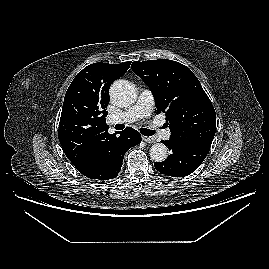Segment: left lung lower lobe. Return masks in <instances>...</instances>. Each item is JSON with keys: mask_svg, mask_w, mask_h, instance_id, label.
I'll list each match as a JSON object with an SVG mask.
<instances>
[{"mask_svg": "<svg viewBox=\"0 0 269 269\" xmlns=\"http://www.w3.org/2000/svg\"><path fill=\"white\" fill-rule=\"evenodd\" d=\"M172 152L163 162L154 164L157 171L171 177L193 173L207 156L211 145L207 143L183 144L171 139L161 141Z\"/></svg>", "mask_w": 269, "mask_h": 269, "instance_id": "1", "label": "left lung lower lobe"}]
</instances>
